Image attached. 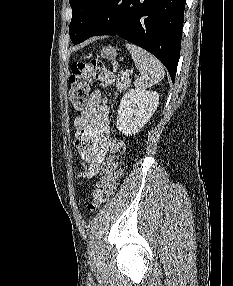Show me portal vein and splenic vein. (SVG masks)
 <instances>
[{
    "mask_svg": "<svg viewBox=\"0 0 233 286\" xmlns=\"http://www.w3.org/2000/svg\"><path fill=\"white\" fill-rule=\"evenodd\" d=\"M131 73H132V71H131V72H130V71H125V72H124V75H125V76H129V75H131Z\"/></svg>",
    "mask_w": 233,
    "mask_h": 286,
    "instance_id": "1",
    "label": "portal vein and splenic vein"
}]
</instances>
